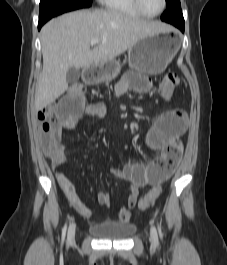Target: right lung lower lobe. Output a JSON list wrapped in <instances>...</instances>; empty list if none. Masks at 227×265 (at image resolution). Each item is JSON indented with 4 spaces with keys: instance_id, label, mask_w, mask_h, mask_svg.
<instances>
[{
    "instance_id": "1",
    "label": "right lung lower lobe",
    "mask_w": 227,
    "mask_h": 265,
    "mask_svg": "<svg viewBox=\"0 0 227 265\" xmlns=\"http://www.w3.org/2000/svg\"><path fill=\"white\" fill-rule=\"evenodd\" d=\"M42 25H43V24L39 23V24H38V28L40 29V27H41Z\"/></svg>"
}]
</instances>
